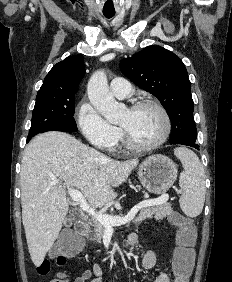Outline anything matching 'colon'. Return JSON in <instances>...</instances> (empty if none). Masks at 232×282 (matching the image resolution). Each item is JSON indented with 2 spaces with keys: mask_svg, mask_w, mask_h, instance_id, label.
<instances>
[{
  "mask_svg": "<svg viewBox=\"0 0 232 282\" xmlns=\"http://www.w3.org/2000/svg\"><path fill=\"white\" fill-rule=\"evenodd\" d=\"M171 222L177 227V246L173 253L172 269L174 282H189L193 263V246L196 241V230L191 220L183 215L174 214ZM82 241L69 230L62 232L58 239L54 260L57 265H64L68 259L74 257L81 249ZM51 269L49 259L43 260L36 268L39 276H46Z\"/></svg>",
  "mask_w": 232,
  "mask_h": 282,
  "instance_id": "colon-1",
  "label": "colon"
}]
</instances>
